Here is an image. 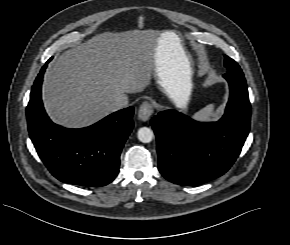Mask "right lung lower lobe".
Masks as SVG:
<instances>
[{
    "instance_id": "98d812e1",
    "label": "right lung lower lobe",
    "mask_w": 290,
    "mask_h": 245,
    "mask_svg": "<svg viewBox=\"0 0 290 245\" xmlns=\"http://www.w3.org/2000/svg\"><path fill=\"white\" fill-rule=\"evenodd\" d=\"M46 67L47 64L34 82L26 108L29 135L39 157L62 182L93 187L107 185L119 172L120 153L133 128L134 108L119 110L82 129L56 125L42 104L41 86Z\"/></svg>"
}]
</instances>
